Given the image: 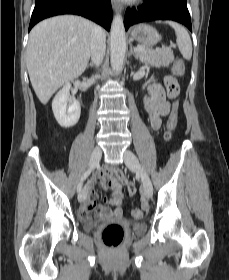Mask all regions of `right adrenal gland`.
I'll use <instances>...</instances> for the list:
<instances>
[{
  "label": "right adrenal gland",
  "mask_w": 229,
  "mask_h": 280,
  "mask_svg": "<svg viewBox=\"0 0 229 280\" xmlns=\"http://www.w3.org/2000/svg\"><path fill=\"white\" fill-rule=\"evenodd\" d=\"M93 66V64L92 63H89L88 65H87V68L88 67H92Z\"/></svg>",
  "instance_id": "2a0ac1e0"
}]
</instances>
